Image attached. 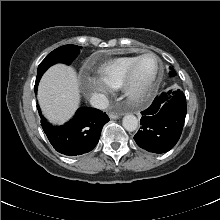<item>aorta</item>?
Returning <instances> with one entry per match:
<instances>
[{"label": "aorta", "instance_id": "1", "mask_svg": "<svg viewBox=\"0 0 220 220\" xmlns=\"http://www.w3.org/2000/svg\"><path fill=\"white\" fill-rule=\"evenodd\" d=\"M122 124L127 131L133 132L138 127V119L136 116L128 114L123 117Z\"/></svg>", "mask_w": 220, "mask_h": 220}]
</instances>
